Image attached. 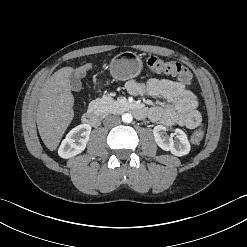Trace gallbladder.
Segmentation results:
<instances>
[{
	"instance_id": "obj_1",
	"label": "gallbladder",
	"mask_w": 247,
	"mask_h": 247,
	"mask_svg": "<svg viewBox=\"0 0 247 247\" xmlns=\"http://www.w3.org/2000/svg\"><path fill=\"white\" fill-rule=\"evenodd\" d=\"M70 84H71V89L73 91H76V92L80 91L82 88V82L80 80V75L73 73L70 76Z\"/></svg>"
}]
</instances>
